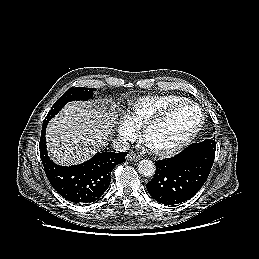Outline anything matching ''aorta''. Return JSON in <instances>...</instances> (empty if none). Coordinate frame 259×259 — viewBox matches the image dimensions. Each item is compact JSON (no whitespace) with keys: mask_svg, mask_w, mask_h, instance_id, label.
<instances>
[{"mask_svg":"<svg viewBox=\"0 0 259 259\" xmlns=\"http://www.w3.org/2000/svg\"><path fill=\"white\" fill-rule=\"evenodd\" d=\"M138 171L141 175L145 177H151L155 174L156 167L151 160L144 159L139 162Z\"/></svg>","mask_w":259,"mask_h":259,"instance_id":"aorta-1","label":"aorta"}]
</instances>
